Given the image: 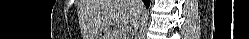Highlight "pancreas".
<instances>
[{"instance_id":"pancreas-1","label":"pancreas","mask_w":249,"mask_h":39,"mask_svg":"<svg viewBox=\"0 0 249 39\" xmlns=\"http://www.w3.org/2000/svg\"><path fill=\"white\" fill-rule=\"evenodd\" d=\"M117 35L115 33H112L111 34V38H115V39H118L119 37H116Z\"/></svg>"}]
</instances>
